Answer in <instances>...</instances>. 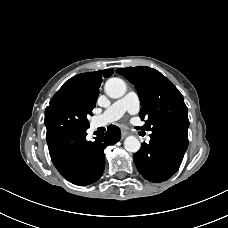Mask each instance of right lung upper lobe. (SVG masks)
<instances>
[{
  "label": "right lung upper lobe",
  "instance_id": "cb5924a9",
  "mask_svg": "<svg viewBox=\"0 0 228 228\" xmlns=\"http://www.w3.org/2000/svg\"><path fill=\"white\" fill-rule=\"evenodd\" d=\"M114 69L82 73L69 79L56 92L67 94L81 102L82 104L94 108L99 95V87L102 77H110Z\"/></svg>",
  "mask_w": 228,
  "mask_h": 228
}]
</instances>
